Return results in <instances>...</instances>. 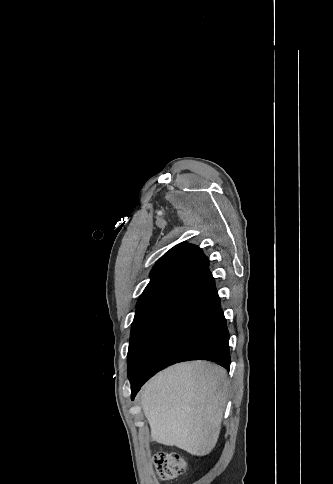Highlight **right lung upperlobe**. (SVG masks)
<instances>
[{
	"mask_svg": "<svg viewBox=\"0 0 333 484\" xmlns=\"http://www.w3.org/2000/svg\"><path fill=\"white\" fill-rule=\"evenodd\" d=\"M208 271V259L202 250L196 245L180 243L156 262L136 307L163 300Z\"/></svg>",
	"mask_w": 333,
	"mask_h": 484,
	"instance_id": "cb5924a9",
	"label": "right lung upper lobe"
}]
</instances>
